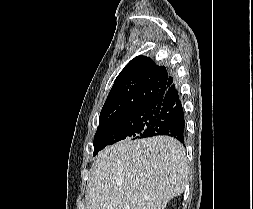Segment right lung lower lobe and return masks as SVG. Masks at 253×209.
Masks as SVG:
<instances>
[{
  "label": "right lung lower lobe",
  "instance_id": "1",
  "mask_svg": "<svg viewBox=\"0 0 253 209\" xmlns=\"http://www.w3.org/2000/svg\"><path fill=\"white\" fill-rule=\"evenodd\" d=\"M158 115L139 138L167 135L184 144L185 118L182 103L175 85L172 84L165 94L153 105Z\"/></svg>",
  "mask_w": 253,
  "mask_h": 209
}]
</instances>
